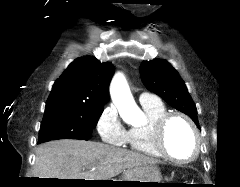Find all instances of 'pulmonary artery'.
<instances>
[{"instance_id": "e3ab8cb5", "label": "pulmonary artery", "mask_w": 240, "mask_h": 187, "mask_svg": "<svg viewBox=\"0 0 240 187\" xmlns=\"http://www.w3.org/2000/svg\"><path fill=\"white\" fill-rule=\"evenodd\" d=\"M139 102L141 104H150V103H156V102H159V99L157 96L151 94V93H148V92H142L140 95H139Z\"/></svg>"}]
</instances>
